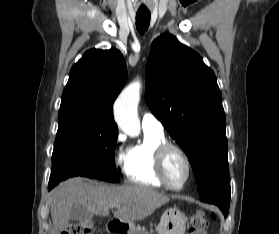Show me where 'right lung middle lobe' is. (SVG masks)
Listing matches in <instances>:
<instances>
[{"label": "right lung middle lobe", "instance_id": "obj_1", "mask_svg": "<svg viewBox=\"0 0 279 234\" xmlns=\"http://www.w3.org/2000/svg\"><path fill=\"white\" fill-rule=\"evenodd\" d=\"M49 189L72 176L119 182L115 167L118 129L82 115L58 116Z\"/></svg>", "mask_w": 279, "mask_h": 234}]
</instances>
